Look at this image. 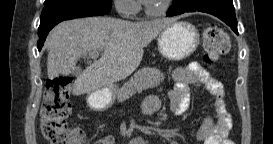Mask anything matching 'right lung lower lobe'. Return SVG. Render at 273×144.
Listing matches in <instances>:
<instances>
[{
  "instance_id": "98d812e1",
  "label": "right lung lower lobe",
  "mask_w": 273,
  "mask_h": 144,
  "mask_svg": "<svg viewBox=\"0 0 273 144\" xmlns=\"http://www.w3.org/2000/svg\"><path fill=\"white\" fill-rule=\"evenodd\" d=\"M111 10V0H55L44 6L38 29L40 51L49 31L59 22L79 17L105 15Z\"/></svg>"
}]
</instances>
